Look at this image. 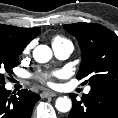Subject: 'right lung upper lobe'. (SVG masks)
<instances>
[{
  "label": "right lung upper lobe",
  "mask_w": 118,
  "mask_h": 118,
  "mask_svg": "<svg viewBox=\"0 0 118 118\" xmlns=\"http://www.w3.org/2000/svg\"><path fill=\"white\" fill-rule=\"evenodd\" d=\"M40 32V28H19L0 24V38L13 41L24 48Z\"/></svg>",
  "instance_id": "1"
}]
</instances>
